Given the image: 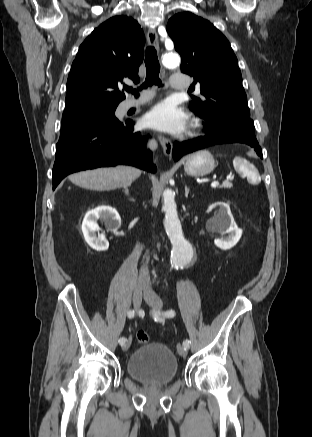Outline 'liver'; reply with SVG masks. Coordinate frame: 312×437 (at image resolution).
I'll list each match as a JSON object with an SVG mask.
<instances>
[{
  "label": "liver",
  "mask_w": 312,
  "mask_h": 437,
  "mask_svg": "<svg viewBox=\"0 0 312 437\" xmlns=\"http://www.w3.org/2000/svg\"><path fill=\"white\" fill-rule=\"evenodd\" d=\"M141 175V170L125 165L110 168H97L69 176V180L84 189L109 191L128 187Z\"/></svg>",
  "instance_id": "obj_1"
}]
</instances>
